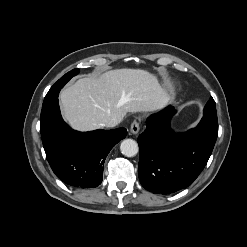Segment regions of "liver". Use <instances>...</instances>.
<instances>
[{"mask_svg":"<svg viewBox=\"0 0 247 247\" xmlns=\"http://www.w3.org/2000/svg\"><path fill=\"white\" fill-rule=\"evenodd\" d=\"M62 113L77 131L107 127L129 112H153L170 96L155 75L141 69H116L79 79L59 96Z\"/></svg>","mask_w":247,"mask_h":247,"instance_id":"1","label":"liver"}]
</instances>
